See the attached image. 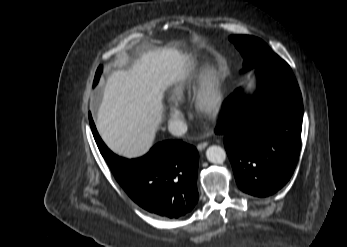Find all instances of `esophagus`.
I'll use <instances>...</instances> for the list:
<instances>
[{"label":"esophagus","mask_w":347,"mask_h":247,"mask_svg":"<svg viewBox=\"0 0 347 247\" xmlns=\"http://www.w3.org/2000/svg\"><path fill=\"white\" fill-rule=\"evenodd\" d=\"M208 146V142L207 141H204V142H201L197 145V149L199 151H202L204 150L206 147Z\"/></svg>","instance_id":"esophagus-1"}]
</instances>
